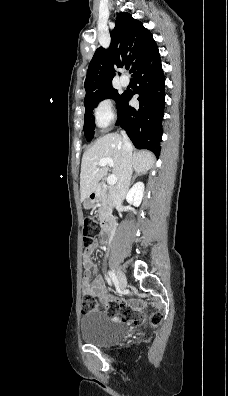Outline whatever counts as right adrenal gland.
<instances>
[{"label":"right adrenal gland","mask_w":228,"mask_h":396,"mask_svg":"<svg viewBox=\"0 0 228 396\" xmlns=\"http://www.w3.org/2000/svg\"><path fill=\"white\" fill-rule=\"evenodd\" d=\"M142 174H144V173H136V174L133 176V178H132L131 184H133V182L135 181V179H136L138 176L142 175Z\"/></svg>","instance_id":"2a0ac1e0"}]
</instances>
